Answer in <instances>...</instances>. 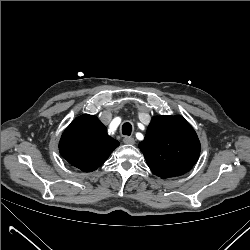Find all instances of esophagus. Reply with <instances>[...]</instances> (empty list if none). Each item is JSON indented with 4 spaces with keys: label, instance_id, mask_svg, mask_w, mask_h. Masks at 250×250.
<instances>
[{
    "label": "esophagus",
    "instance_id": "1",
    "mask_svg": "<svg viewBox=\"0 0 250 250\" xmlns=\"http://www.w3.org/2000/svg\"><path fill=\"white\" fill-rule=\"evenodd\" d=\"M123 142L128 145H133L135 143V140L134 138L127 136L123 138Z\"/></svg>",
    "mask_w": 250,
    "mask_h": 250
}]
</instances>
